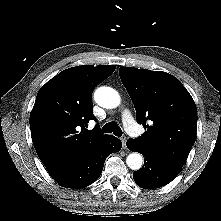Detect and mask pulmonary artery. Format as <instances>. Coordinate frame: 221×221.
<instances>
[{"instance_id": "obj_1", "label": "pulmonary artery", "mask_w": 221, "mask_h": 221, "mask_svg": "<svg viewBox=\"0 0 221 221\" xmlns=\"http://www.w3.org/2000/svg\"><path fill=\"white\" fill-rule=\"evenodd\" d=\"M122 120L126 131L130 135L137 136L139 134L138 126L129 111L125 110L123 112Z\"/></svg>"}]
</instances>
